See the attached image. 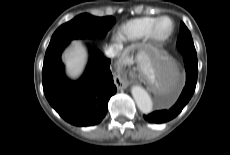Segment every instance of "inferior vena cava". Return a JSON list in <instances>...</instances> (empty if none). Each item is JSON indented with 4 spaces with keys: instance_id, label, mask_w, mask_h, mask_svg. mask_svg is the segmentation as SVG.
I'll use <instances>...</instances> for the list:
<instances>
[{
    "instance_id": "602c4592",
    "label": "inferior vena cava",
    "mask_w": 230,
    "mask_h": 155,
    "mask_svg": "<svg viewBox=\"0 0 230 155\" xmlns=\"http://www.w3.org/2000/svg\"><path fill=\"white\" fill-rule=\"evenodd\" d=\"M118 52H119V46L118 45L108 47L105 50V54L109 58H114L115 56H117Z\"/></svg>"
}]
</instances>
